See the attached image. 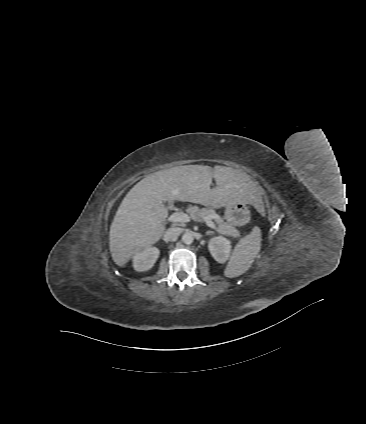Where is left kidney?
I'll return each mask as SVG.
<instances>
[{
	"mask_svg": "<svg viewBox=\"0 0 366 424\" xmlns=\"http://www.w3.org/2000/svg\"><path fill=\"white\" fill-rule=\"evenodd\" d=\"M208 248L217 262L225 263L230 256L231 241L222 236L213 237L208 243Z\"/></svg>",
	"mask_w": 366,
	"mask_h": 424,
	"instance_id": "obj_1",
	"label": "left kidney"
}]
</instances>
